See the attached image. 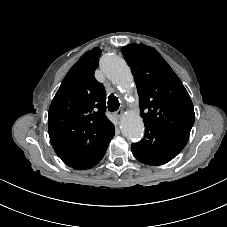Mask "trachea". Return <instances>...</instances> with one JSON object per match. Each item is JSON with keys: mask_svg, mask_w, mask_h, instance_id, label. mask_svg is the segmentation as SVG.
<instances>
[{"mask_svg": "<svg viewBox=\"0 0 227 227\" xmlns=\"http://www.w3.org/2000/svg\"><path fill=\"white\" fill-rule=\"evenodd\" d=\"M108 109L109 111H117L119 109L120 103L114 94L108 96Z\"/></svg>", "mask_w": 227, "mask_h": 227, "instance_id": "1", "label": "trachea"}]
</instances>
